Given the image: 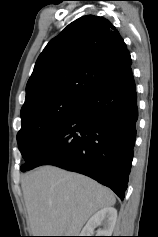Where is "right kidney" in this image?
Listing matches in <instances>:
<instances>
[{"label":"right kidney","instance_id":"ca27d5eb","mask_svg":"<svg viewBox=\"0 0 158 237\" xmlns=\"http://www.w3.org/2000/svg\"><path fill=\"white\" fill-rule=\"evenodd\" d=\"M117 220V210L113 207H105L96 212L84 226L80 236H92L98 226L96 236H112Z\"/></svg>","mask_w":158,"mask_h":237}]
</instances>
